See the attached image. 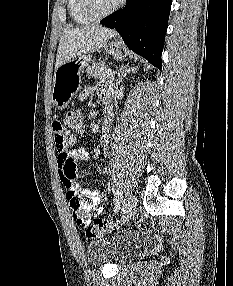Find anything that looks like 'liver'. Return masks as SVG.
Masks as SVG:
<instances>
[{
    "mask_svg": "<svg viewBox=\"0 0 233 286\" xmlns=\"http://www.w3.org/2000/svg\"><path fill=\"white\" fill-rule=\"evenodd\" d=\"M116 35L114 30L98 24L65 29L58 46L55 70L77 56L98 50Z\"/></svg>",
    "mask_w": 233,
    "mask_h": 286,
    "instance_id": "obj_1",
    "label": "liver"
}]
</instances>
